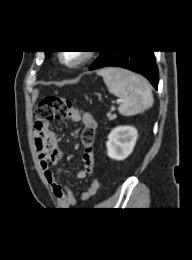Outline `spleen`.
<instances>
[{
	"label": "spleen",
	"instance_id": "spleen-1",
	"mask_svg": "<svg viewBox=\"0 0 192 260\" xmlns=\"http://www.w3.org/2000/svg\"><path fill=\"white\" fill-rule=\"evenodd\" d=\"M109 92L121 99L118 111L123 116L140 114L152 107L154 98L150 83L131 71L106 67L97 71Z\"/></svg>",
	"mask_w": 192,
	"mask_h": 260
}]
</instances>
